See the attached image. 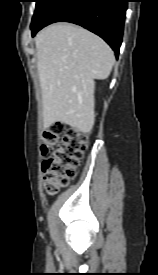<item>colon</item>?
<instances>
[{
    "instance_id": "obj_1",
    "label": "colon",
    "mask_w": 158,
    "mask_h": 275,
    "mask_svg": "<svg viewBox=\"0 0 158 275\" xmlns=\"http://www.w3.org/2000/svg\"><path fill=\"white\" fill-rule=\"evenodd\" d=\"M86 143V134L59 122L42 133L43 181L49 195L74 179Z\"/></svg>"
}]
</instances>
